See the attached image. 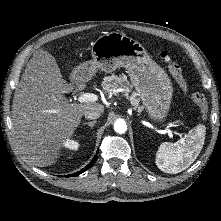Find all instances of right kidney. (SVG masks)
I'll return each mask as SVG.
<instances>
[{"instance_id":"right-kidney-1","label":"right kidney","mask_w":221,"mask_h":221,"mask_svg":"<svg viewBox=\"0 0 221 221\" xmlns=\"http://www.w3.org/2000/svg\"><path fill=\"white\" fill-rule=\"evenodd\" d=\"M64 146L66 148L72 149V150H78L80 144L77 141L74 140H66L64 142Z\"/></svg>"}]
</instances>
